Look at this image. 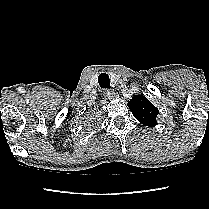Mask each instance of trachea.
Listing matches in <instances>:
<instances>
[{"label":"trachea","instance_id":"trachea-1","mask_svg":"<svg viewBox=\"0 0 209 209\" xmlns=\"http://www.w3.org/2000/svg\"><path fill=\"white\" fill-rule=\"evenodd\" d=\"M98 83H99V86L101 88H103V89H110V79H109L108 74L101 73L98 76Z\"/></svg>","mask_w":209,"mask_h":209}]
</instances>
